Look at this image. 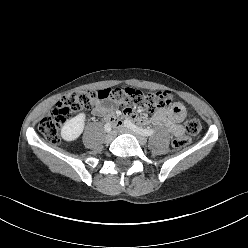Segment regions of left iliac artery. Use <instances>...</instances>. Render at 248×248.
<instances>
[{"label": "left iliac artery", "mask_w": 248, "mask_h": 248, "mask_svg": "<svg viewBox=\"0 0 248 248\" xmlns=\"http://www.w3.org/2000/svg\"><path fill=\"white\" fill-rule=\"evenodd\" d=\"M125 126H127L128 128L134 130L135 132L143 135V136H151L154 134V130L152 129H143L140 128L138 126H136L135 124H133L130 120H125L124 121Z\"/></svg>", "instance_id": "1"}]
</instances>
